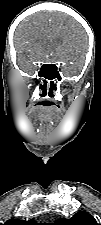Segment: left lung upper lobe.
<instances>
[{
  "mask_svg": "<svg viewBox=\"0 0 101 225\" xmlns=\"http://www.w3.org/2000/svg\"><path fill=\"white\" fill-rule=\"evenodd\" d=\"M53 225H98V223L88 212L80 211L71 219H58Z\"/></svg>",
  "mask_w": 101,
  "mask_h": 225,
  "instance_id": "left-lung-upper-lobe-1",
  "label": "left lung upper lobe"
}]
</instances>
